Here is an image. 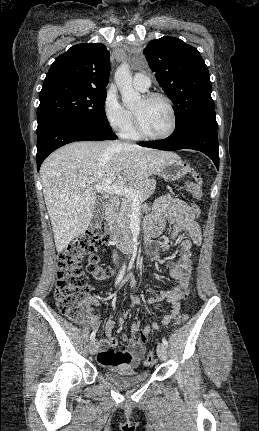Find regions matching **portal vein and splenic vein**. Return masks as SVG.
Segmentation results:
<instances>
[{
	"mask_svg": "<svg viewBox=\"0 0 259 431\" xmlns=\"http://www.w3.org/2000/svg\"><path fill=\"white\" fill-rule=\"evenodd\" d=\"M114 178H108L104 181H102V183L96 184L94 186V190L97 191H105L109 194H116V195H121V196H127L132 198L133 200H138V198L140 197V192L129 188V187H124V186H119V185H114L113 183Z\"/></svg>",
	"mask_w": 259,
	"mask_h": 431,
	"instance_id": "portal-vein-and-splenic-vein-1",
	"label": "portal vein and splenic vein"
}]
</instances>
